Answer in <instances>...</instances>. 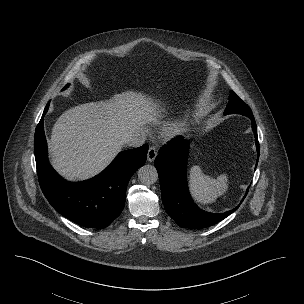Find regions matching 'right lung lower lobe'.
<instances>
[{"label":"right lung lower lobe","mask_w":304,"mask_h":304,"mask_svg":"<svg viewBox=\"0 0 304 304\" xmlns=\"http://www.w3.org/2000/svg\"><path fill=\"white\" fill-rule=\"evenodd\" d=\"M36 127L34 151L40 187L49 203L63 216L83 226L105 228L125 205L128 182L146 162L148 145L120 152L114 161L92 179L71 183L60 177L47 157L43 117Z\"/></svg>","instance_id":"98d812e1"}]
</instances>
